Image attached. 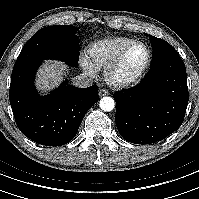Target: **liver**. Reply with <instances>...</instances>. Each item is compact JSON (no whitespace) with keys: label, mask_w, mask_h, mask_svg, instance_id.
<instances>
[{"label":"liver","mask_w":199,"mask_h":199,"mask_svg":"<svg viewBox=\"0 0 199 199\" xmlns=\"http://www.w3.org/2000/svg\"><path fill=\"white\" fill-rule=\"evenodd\" d=\"M66 66L60 61L48 60L37 75L36 85L39 90L49 91L62 81Z\"/></svg>","instance_id":"obj_1"}]
</instances>
